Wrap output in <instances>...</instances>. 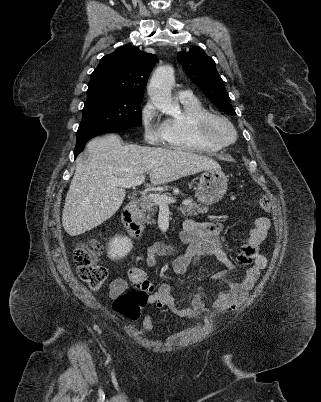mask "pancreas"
<instances>
[{"instance_id":"obj_1","label":"pancreas","mask_w":321,"mask_h":402,"mask_svg":"<svg viewBox=\"0 0 321 402\" xmlns=\"http://www.w3.org/2000/svg\"><path fill=\"white\" fill-rule=\"evenodd\" d=\"M161 196L164 197H171V194L169 193H164L161 194ZM141 210H140V218L141 221L145 224H155V219L152 218V216L155 214L157 211V206H159L153 199L150 197H147L143 199L140 203ZM178 210L184 215V216H197L198 213H207L208 212V207H200L196 202H194L191 198L185 200L182 202Z\"/></svg>"}]
</instances>
